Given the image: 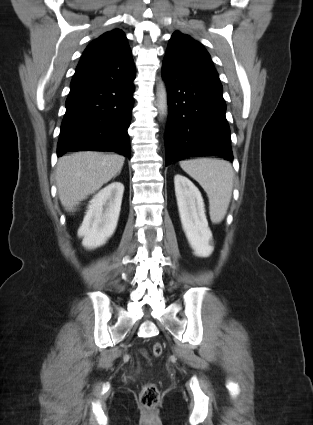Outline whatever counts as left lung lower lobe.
<instances>
[{
  "label": "left lung lower lobe",
  "instance_id": "left-lung-lower-lobe-1",
  "mask_svg": "<svg viewBox=\"0 0 313 425\" xmlns=\"http://www.w3.org/2000/svg\"><path fill=\"white\" fill-rule=\"evenodd\" d=\"M168 90L166 165L188 157L221 156L233 161L226 103L219 79L186 72L164 59Z\"/></svg>",
  "mask_w": 313,
  "mask_h": 425
}]
</instances>
